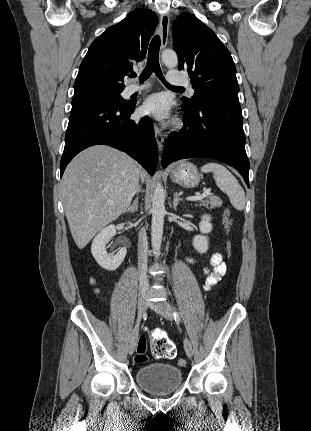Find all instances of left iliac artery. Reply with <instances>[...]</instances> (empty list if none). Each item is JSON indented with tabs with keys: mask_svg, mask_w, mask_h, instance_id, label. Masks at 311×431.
I'll list each match as a JSON object with an SVG mask.
<instances>
[{
	"mask_svg": "<svg viewBox=\"0 0 311 431\" xmlns=\"http://www.w3.org/2000/svg\"><path fill=\"white\" fill-rule=\"evenodd\" d=\"M173 316H174V318H175L176 321H180L179 313L176 311L175 308H174Z\"/></svg>",
	"mask_w": 311,
	"mask_h": 431,
	"instance_id": "44dca946",
	"label": "left iliac artery"
}]
</instances>
